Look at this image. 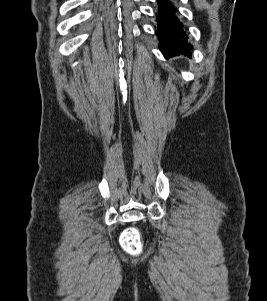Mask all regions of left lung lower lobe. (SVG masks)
Segmentation results:
<instances>
[{"label":"left lung lower lobe","mask_w":267,"mask_h":301,"mask_svg":"<svg viewBox=\"0 0 267 301\" xmlns=\"http://www.w3.org/2000/svg\"><path fill=\"white\" fill-rule=\"evenodd\" d=\"M158 26L156 34L161 40L159 47L166 59L180 54L191 56L192 45L189 43L184 26L175 15V8L170 0H157Z\"/></svg>","instance_id":"1"}]
</instances>
